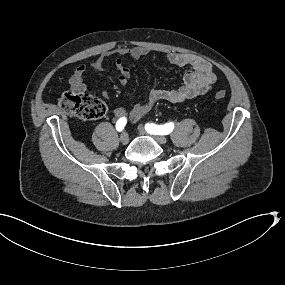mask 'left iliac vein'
Instances as JSON below:
<instances>
[{"label": "left iliac vein", "mask_w": 285, "mask_h": 285, "mask_svg": "<svg viewBox=\"0 0 285 285\" xmlns=\"http://www.w3.org/2000/svg\"><path fill=\"white\" fill-rule=\"evenodd\" d=\"M138 131L140 134H145L144 128L142 125L138 126ZM152 138L159 144H166L167 143V138L162 135H152Z\"/></svg>", "instance_id": "1"}]
</instances>
